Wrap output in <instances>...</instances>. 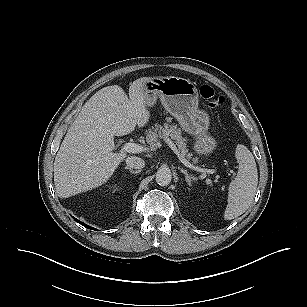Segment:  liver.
Wrapping results in <instances>:
<instances>
[{
    "label": "liver",
    "mask_w": 307,
    "mask_h": 307,
    "mask_svg": "<svg viewBox=\"0 0 307 307\" xmlns=\"http://www.w3.org/2000/svg\"><path fill=\"white\" fill-rule=\"evenodd\" d=\"M135 80L129 98L118 85L96 92L82 107L66 133L54 161V183L60 198L91 190L105 183L125 153H114V136H124L147 124L144 83Z\"/></svg>",
    "instance_id": "obj_1"
}]
</instances>
